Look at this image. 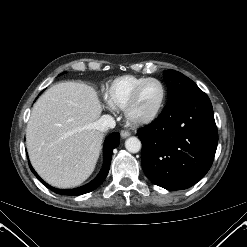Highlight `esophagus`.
<instances>
[{
    "mask_svg": "<svg viewBox=\"0 0 247 247\" xmlns=\"http://www.w3.org/2000/svg\"><path fill=\"white\" fill-rule=\"evenodd\" d=\"M120 134L122 138H127L130 136V132L126 130H122Z\"/></svg>",
    "mask_w": 247,
    "mask_h": 247,
    "instance_id": "34e87169",
    "label": "esophagus"
}]
</instances>
